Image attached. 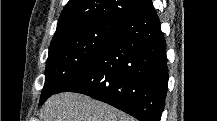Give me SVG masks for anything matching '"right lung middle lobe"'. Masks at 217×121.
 <instances>
[{"mask_svg": "<svg viewBox=\"0 0 217 121\" xmlns=\"http://www.w3.org/2000/svg\"><path fill=\"white\" fill-rule=\"evenodd\" d=\"M125 23L114 19L84 22L52 40L40 104L90 65Z\"/></svg>", "mask_w": 217, "mask_h": 121, "instance_id": "1", "label": "right lung middle lobe"}]
</instances>
